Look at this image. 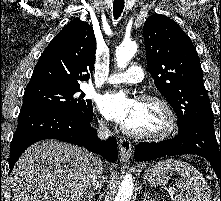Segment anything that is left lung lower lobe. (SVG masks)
I'll list each match as a JSON object with an SVG mask.
<instances>
[{
  "mask_svg": "<svg viewBox=\"0 0 221 201\" xmlns=\"http://www.w3.org/2000/svg\"><path fill=\"white\" fill-rule=\"evenodd\" d=\"M172 140L140 142L135 149L137 161H148L163 156L196 154L206 158L221 181V140L217 142L213 125L192 123Z\"/></svg>",
  "mask_w": 221,
  "mask_h": 201,
  "instance_id": "left-lung-lower-lobe-1",
  "label": "left lung lower lobe"
}]
</instances>
